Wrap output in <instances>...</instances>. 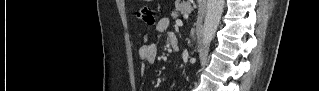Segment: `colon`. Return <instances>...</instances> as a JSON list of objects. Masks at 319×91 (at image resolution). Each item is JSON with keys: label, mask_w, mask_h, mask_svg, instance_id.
<instances>
[{"label": "colon", "mask_w": 319, "mask_h": 91, "mask_svg": "<svg viewBox=\"0 0 319 91\" xmlns=\"http://www.w3.org/2000/svg\"><path fill=\"white\" fill-rule=\"evenodd\" d=\"M138 18L146 25L153 26L155 24V18L148 6H142L137 10Z\"/></svg>", "instance_id": "5ec220e1"}]
</instances>
